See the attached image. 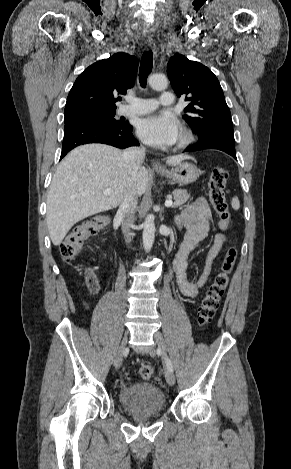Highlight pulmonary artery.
<instances>
[{
	"instance_id": "obj_1",
	"label": "pulmonary artery",
	"mask_w": 291,
	"mask_h": 469,
	"mask_svg": "<svg viewBox=\"0 0 291 469\" xmlns=\"http://www.w3.org/2000/svg\"><path fill=\"white\" fill-rule=\"evenodd\" d=\"M174 103V96L171 92L164 91L158 100L144 98H130L129 104L120 108L121 115H142L155 110L159 105L169 107Z\"/></svg>"
}]
</instances>
